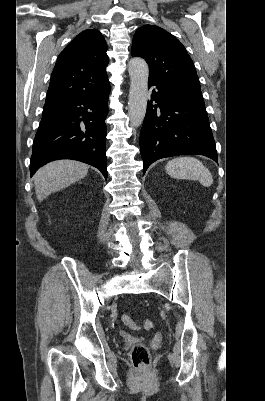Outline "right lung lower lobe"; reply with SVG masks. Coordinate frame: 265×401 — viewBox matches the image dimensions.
<instances>
[{
    "label": "right lung lower lobe",
    "instance_id": "obj_1",
    "mask_svg": "<svg viewBox=\"0 0 265 401\" xmlns=\"http://www.w3.org/2000/svg\"><path fill=\"white\" fill-rule=\"evenodd\" d=\"M110 85L98 92L44 107L33 142L31 176L58 159H74L98 168L105 178L107 99Z\"/></svg>",
    "mask_w": 265,
    "mask_h": 401
}]
</instances>
